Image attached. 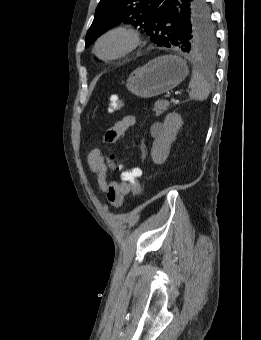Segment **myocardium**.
I'll return each mask as SVG.
<instances>
[{"label":"myocardium","mask_w":261,"mask_h":340,"mask_svg":"<svg viewBox=\"0 0 261 340\" xmlns=\"http://www.w3.org/2000/svg\"><path fill=\"white\" fill-rule=\"evenodd\" d=\"M112 35H121L123 37L126 38L127 40V46L120 51L119 53L109 56V57H104L100 54V45L102 44V42L112 36ZM142 42V37L140 32L130 26L127 25H118L115 27H112L108 30H106L96 41L95 43V53L96 55L103 61L106 62H110V61H114V60H118L120 58L125 57L126 55L130 54L131 52H133L134 50H136L139 45Z\"/></svg>","instance_id":"1"}]
</instances>
